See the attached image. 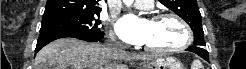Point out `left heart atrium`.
<instances>
[{"label":"left heart atrium","mask_w":246,"mask_h":69,"mask_svg":"<svg viewBox=\"0 0 246 69\" xmlns=\"http://www.w3.org/2000/svg\"><path fill=\"white\" fill-rule=\"evenodd\" d=\"M149 22L129 14L124 16L117 24L119 37L128 44H144Z\"/></svg>","instance_id":"obj_1"}]
</instances>
